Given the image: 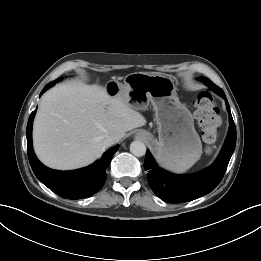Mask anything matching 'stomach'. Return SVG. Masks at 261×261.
Wrapping results in <instances>:
<instances>
[{
    "label": "stomach",
    "mask_w": 261,
    "mask_h": 261,
    "mask_svg": "<svg viewBox=\"0 0 261 261\" xmlns=\"http://www.w3.org/2000/svg\"><path fill=\"white\" fill-rule=\"evenodd\" d=\"M112 97H120L134 110H155L158 139L141 130L154 145L155 156L166 168L184 172L200 158L202 144L189 109L179 101L171 78L136 72L125 78L124 84L110 81L105 87Z\"/></svg>",
    "instance_id": "obj_1"
}]
</instances>
